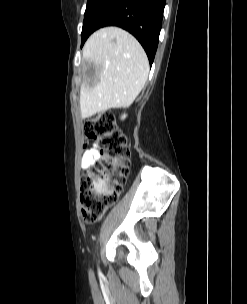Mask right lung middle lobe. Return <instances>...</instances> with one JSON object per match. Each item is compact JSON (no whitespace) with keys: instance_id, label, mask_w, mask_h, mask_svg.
Here are the masks:
<instances>
[{"instance_id":"1","label":"right lung middle lobe","mask_w":247,"mask_h":304,"mask_svg":"<svg viewBox=\"0 0 247 304\" xmlns=\"http://www.w3.org/2000/svg\"><path fill=\"white\" fill-rule=\"evenodd\" d=\"M98 0H88L87 1V7H86V11H85V16H87L89 14V12L92 10V8L94 7L95 3Z\"/></svg>"}]
</instances>
